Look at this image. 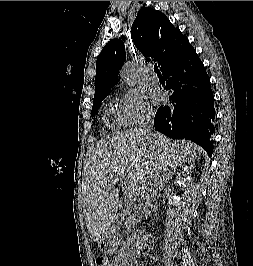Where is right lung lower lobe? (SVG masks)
Wrapping results in <instances>:
<instances>
[{
    "mask_svg": "<svg viewBox=\"0 0 253 266\" xmlns=\"http://www.w3.org/2000/svg\"><path fill=\"white\" fill-rule=\"evenodd\" d=\"M166 89L173 90L169 104L158 108L154 127L172 139H187L211 155L215 133L213 92L205 67L194 48L162 70Z\"/></svg>",
    "mask_w": 253,
    "mask_h": 266,
    "instance_id": "1",
    "label": "right lung lower lobe"
}]
</instances>
